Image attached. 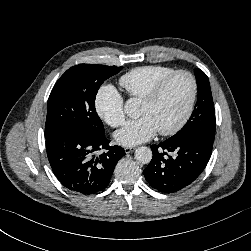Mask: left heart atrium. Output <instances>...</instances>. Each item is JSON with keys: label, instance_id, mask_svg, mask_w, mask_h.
Returning <instances> with one entry per match:
<instances>
[{"label": "left heart atrium", "instance_id": "1", "mask_svg": "<svg viewBox=\"0 0 251 251\" xmlns=\"http://www.w3.org/2000/svg\"><path fill=\"white\" fill-rule=\"evenodd\" d=\"M157 128L148 116H141L128 121L125 126L115 134V139L122 146H135L150 140Z\"/></svg>", "mask_w": 251, "mask_h": 251}]
</instances>
